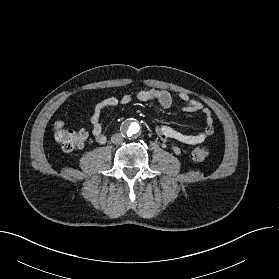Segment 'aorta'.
Returning a JSON list of instances; mask_svg holds the SVG:
<instances>
[{
    "instance_id": "obj_1",
    "label": "aorta",
    "mask_w": 279,
    "mask_h": 279,
    "mask_svg": "<svg viewBox=\"0 0 279 279\" xmlns=\"http://www.w3.org/2000/svg\"><path fill=\"white\" fill-rule=\"evenodd\" d=\"M125 132L128 136H136L140 132V125L137 121L130 120L124 125Z\"/></svg>"
}]
</instances>
